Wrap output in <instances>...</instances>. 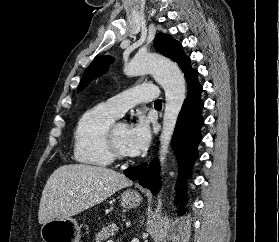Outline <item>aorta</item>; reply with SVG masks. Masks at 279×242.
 I'll return each mask as SVG.
<instances>
[{
  "mask_svg": "<svg viewBox=\"0 0 279 242\" xmlns=\"http://www.w3.org/2000/svg\"><path fill=\"white\" fill-rule=\"evenodd\" d=\"M127 76L152 74L165 91V109L163 127L160 135L159 159L163 167L169 145L176 126V121L185 100V79L179 67L171 60L156 54H137L124 67ZM162 194L158 195L156 215L161 210Z\"/></svg>",
  "mask_w": 279,
  "mask_h": 242,
  "instance_id": "obj_1",
  "label": "aorta"
}]
</instances>
